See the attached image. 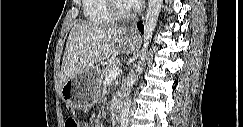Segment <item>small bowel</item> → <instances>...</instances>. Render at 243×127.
Here are the masks:
<instances>
[{
    "label": "small bowel",
    "mask_w": 243,
    "mask_h": 127,
    "mask_svg": "<svg viewBox=\"0 0 243 127\" xmlns=\"http://www.w3.org/2000/svg\"><path fill=\"white\" fill-rule=\"evenodd\" d=\"M82 125H83V127H87V126H88V125H87V124H85V123H83Z\"/></svg>",
    "instance_id": "1"
}]
</instances>
